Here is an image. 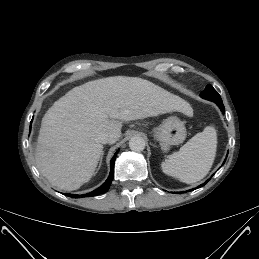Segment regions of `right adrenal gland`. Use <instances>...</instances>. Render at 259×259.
<instances>
[{"label": "right adrenal gland", "instance_id": "2a0ac1e0", "mask_svg": "<svg viewBox=\"0 0 259 259\" xmlns=\"http://www.w3.org/2000/svg\"><path fill=\"white\" fill-rule=\"evenodd\" d=\"M102 158H103V153H102V155H101V158H100L99 167L101 166V163H102Z\"/></svg>", "mask_w": 259, "mask_h": 259}]
</instances>
